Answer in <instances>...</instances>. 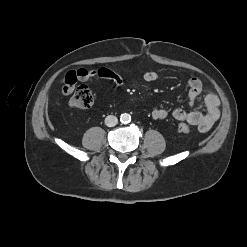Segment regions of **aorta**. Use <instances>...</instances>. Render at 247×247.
<instances>
[{
  "instance_id": "762f6f07",
  "label": "aorta",
  "mask_w": 247,
  "mask_h": 247,
  "mask_svg": "<svg viewBox=\"0 0 247 247\" xmlns=\"http://www.w3.org/2000/svg\"><path fill=\"white\" fill-rule=\"evenodd\" d=\"M120 121L124 124L129 123L131 121V116L128 113H123L120 116Z\"/></svg>"
}]
</instances>
